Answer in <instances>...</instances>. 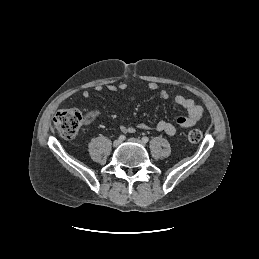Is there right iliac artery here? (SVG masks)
<instances>
[{
  "instance_id": "right-iliac-artery-1",
  "label": "right iliac artery",
  "mask_w": 259,
  "mask_h": 259,
  "mask_svg": "<svg viewBox=\"0 0 259 259\" xmlns=\"http://www.w3.org/2000/svg\"><path fill=\"white\" fill-rule=\"evenodd\" d=\"M125 139H126V136H125V135H120V136H119V140H120V141H124Z\"/></svg>"
}]
</instances>
